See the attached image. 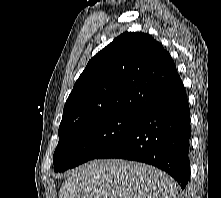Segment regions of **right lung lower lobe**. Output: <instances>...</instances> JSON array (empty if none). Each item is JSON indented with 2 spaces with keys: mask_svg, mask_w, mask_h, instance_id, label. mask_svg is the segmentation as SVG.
<instances>
[{
  "mask_svg": "<svg viewBox=\"0 0 221 198\" xmlns=\"http://www.w3.org/2000/svg\"><path fill=\"white\" fill-rule=\"evenodd\" d=\"M189 139L190 109L181 83L143 112L128 134L96 158L128 159L156 166L184 189L190 178Z\"/></svg>",
  "mask_w": 221,
  "mask_h": 198,
  "instance_id": "98d812e1",
  "label": "right lung lower lobe"
}]
</instances>
